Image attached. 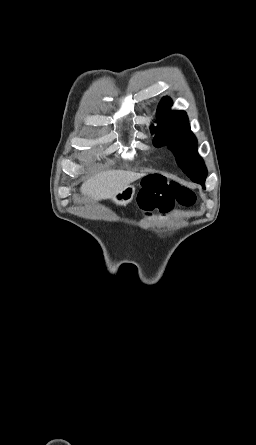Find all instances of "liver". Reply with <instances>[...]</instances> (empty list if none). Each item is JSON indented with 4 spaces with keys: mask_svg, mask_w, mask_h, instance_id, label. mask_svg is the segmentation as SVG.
Returning <instances> with one entry per match:
<instances>
[{
    "mask_svg": "<svg viewBox=\"0 0 256 445\" xmlns=\"http://www.w3.org/2000/svg\"><path fill=\"white\" fill-rule=\"evenodd\" d=\"M144 174L122 170L99 173L83 183L81 191L91 200L99 201L112 198Z\"/></svg>",
    "mask_w": 256,
    "mask_h": 445,
    "instance_id": "1",
    "label": "liver"
}]
</instances>
